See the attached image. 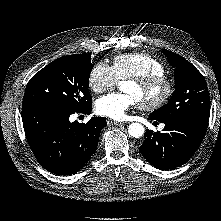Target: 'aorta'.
Returning <instances> with one entry per match:
<instances>
[{"mask_svg":"<svg viewBox=\"0 0 221 221\" xmlns=\"http://www.w3.org/2000/svg\"><path fill=\"white\" fill-rule=\"evenodd\" d=\"M144 127L140 123H131L128 127V133L134 138H140L144 134Z\"/></svg>","mask_w":221,"mask_h":221,"instance_id":"obj_1","label":"aorta"}]
</instances>
